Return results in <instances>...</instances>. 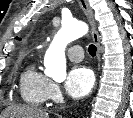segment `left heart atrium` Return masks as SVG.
I'll return each mask as SVG.
<instances>
[{
	"label": "left heart atrium",
	"mask_w": 133,
	"mask_h": 118,
	"mask_svg": "<svg viewBox=\"0 0 133 118\" xmlns=\"http://www.w3.org/2000/svg\"><path fill=\"white\" fill-rule=\"evenodd\" d=\"M94 82L95 77L91 69L85 66H75L67 76L65 88L71 97L81 98L90 93Z\"/></svg>",
	"instance_id": "obj_1"
}]
</instances>
